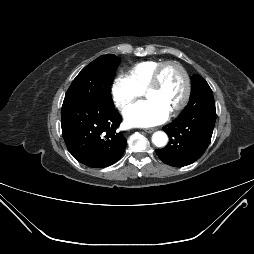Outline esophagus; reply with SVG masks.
Instances as JSON below:
<instances>
[{
	"label": "esophagus",
	"mask_w": 254,
	"mask_h": 254,
	"mask_svg": "<svg viewBox=\"0 0 254 254\" xmlns=\"http://www.w3.org/2000/svg\"><path fill=\"white\" fill-rule=\"evenodd\" d=\"M144 131L147 132V133H152V132L155 131V129L154 128H148V129H144Z\"/></svg>",
	"instance_id": "obj_1"
}]
</instances>
